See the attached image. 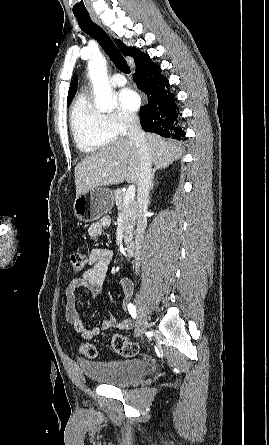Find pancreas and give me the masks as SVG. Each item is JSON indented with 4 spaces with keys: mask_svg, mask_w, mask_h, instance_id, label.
<instances>
[{
    "mask_svg": "<svg viewBox=\"0 0 269 445\" xmlns=\"http://www.w3.org/2000/svg\"><path fill=\"white\" fill-rule=\"evenodd\" d=\"M126 192L121 189L114 191V198L117 209L121 212L124 228V242L126 244L132 241L133 228L138 217L136 201L133 199L129 204H125L124 197Z\"/></svg>",
    "mask_w": 269,
    "mask_h": 445,
    "instance_id": "pancreas-1",
    "label": "pancreas"
}]
</instances>
